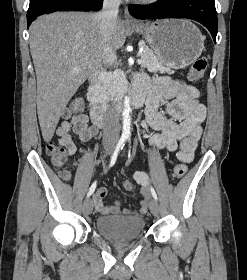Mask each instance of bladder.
Returning a JSON list of instances; mask_svg holds the SVG:
<instances>
[{"instance_id": "obj_1", "label": "bladder", "mask_w": 247, "mask_h": 280, "mask_svg": "<svg viewBox=\"0 0 247 280\" xmlns=\"http://www.w3.org/2000/svg\"><path fill=\"white\" fill-rule=\"evenodd\" d=\"M95 228L112 241H129L144 233L145 220L141 217L101 216L96 219Z\"/></svg>"}]
</instances>
